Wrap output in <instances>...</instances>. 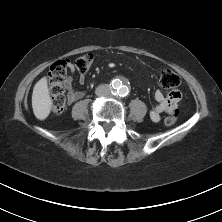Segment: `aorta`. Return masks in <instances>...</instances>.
Masks as SVG:
<instances>
[{
  "label": "aorta",
  "instance_id": "1",
  "mask_svg": "<svg viewBox=\"0 0 222 222\" xmlns=\"http://www.w3.org/2000/svg\"><path fill=\"white\" fill-rule=\"evenodd\" d=\"M112 87L119 96H126L129 93V88L120 79H114Z\"/></svg>",
  "mask_w": 222,
  "mask_h": 222
}]
</instances>
